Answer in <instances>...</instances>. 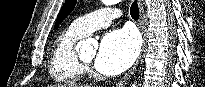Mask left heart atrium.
<instances>
[{
	"label": "left heart atrium",
	"instance_id": "39dd6f15",
	"mask_svg": "<svg viewBox=\"0 0 205 87\" xmlns=\"http://www.w3.org/2000/svg\"><path fill=\"white\" fill-rule=\"evenodd\" d=\"M139 47V38L133 30L123 28L111 31L100 43L95 67L106 75L121 73L135 61Z\"/></svg>",
	"mask_w": 205,
	"mask_h": 87
}]
</instances>
